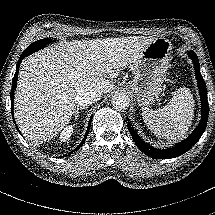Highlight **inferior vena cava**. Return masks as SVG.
Here are the masks:
<instances>
[{"mask_svg":"<svg viewBox=\"0 0 215 215\" xmlns=\"http://www.w3.org/2000/svg\"><path fill=\"white\" fill-rule=\"evenodd\" d=\"M101 96H102V92H100V91L80 90L79 92H77V94L75 96V103L81 108H86V107L90 106L91 104L100 100Z\"/></svg>","mask_w":215,"mask_h":215,"instance_id":"1","label":"inferior vena cava"}]
</instances>
